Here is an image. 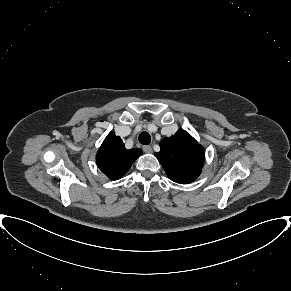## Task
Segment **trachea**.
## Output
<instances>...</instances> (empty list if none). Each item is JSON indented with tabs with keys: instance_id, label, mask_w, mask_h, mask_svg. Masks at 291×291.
<instances>
[{
	"instance_id": "obj_1",
	"label": "trachea",
	"mask_w": 291,
	"mask_h": 291,
	"mask_svg": "<svg viewBox=\"0 0 291 291\" xmlns=\"http://www.w3.org/2000/svg\"><path fill=\"white\" fill-rule=\"evenodd\" d=\"M139 142L143 145H148L151 142V136L148 132H142L139 135Z\"/></svg>"
}]
</instances>
